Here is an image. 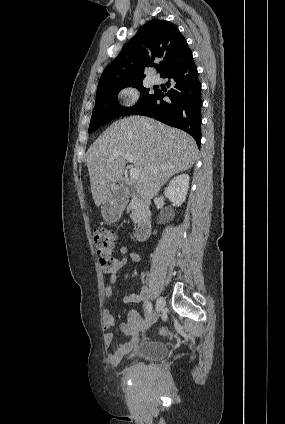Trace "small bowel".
I'll list each match as a JSON object with an SVG mask.
<instances>
[{"mask_svg": "<svg viewBox=\"0 0 285 424\" xmlns=\"http://www.w3.org/2000/svg\"><path fill=\"white\" fill-rule=\"evenodd\" d=\"M121 258L117 263V267L108 272L103 270V274L108 275L107 284L103 288V294L106 298H110L113 295V286L117 282V271L118 269L125 266L130 260L132 263H138L140 261V256L134 251H130L126 246L120 248ZM128 273L125 274L124 280H127ZM141 281L144 283L146 276L144 273L140 275ZM148 290L145 286L141 288L138 293H129L124 296L123 301L126 304H144L145 317H142L136 310H131L129 312L128 318L125 322L119 325V330L122 334L128 337L127 342L118 345L113 351L107 354V361L110 364H118L124 355L129 353L135 345L139 342L141 334L145 332L153 323L152 314L149 313V303L147 301ZM116 323V316L114 313L106 310L103 313V328L106 331L104 334V342L109 345L114 339L112 329Z\"/></svg>", "mask_w": 285, "mask_h": 424, "instance_id": "c3829d8e", "label": "small bowel"}]
</instances>
